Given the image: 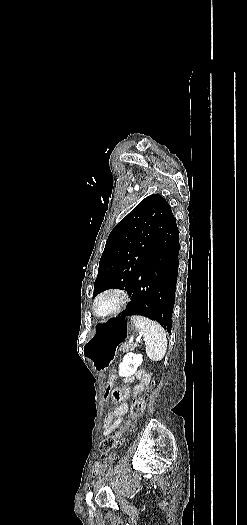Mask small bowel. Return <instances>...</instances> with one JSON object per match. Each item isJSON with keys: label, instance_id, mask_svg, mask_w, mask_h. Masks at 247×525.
Listing matches in <instances>:
<instances>
[{"label": "small bowel", "instance_id": "1", "mask_svg": "<svg viewBox=\"0 0 247 525\" xmlns=\"http://www.w3.org/2000/svg\"><path fill=\"white\" fill-rule=\"evenodd\" d=\"M135 378L139 380V383L134 387V394H138L145 389V386L150 382V376L144 370H137L135 372ZM112 390V389H111ZM128 413V403L124 401L119 402L113 412L108 414L104 420V435L111 434L116 430L125 420ZM102 468L100 462H95L92 468L94 475H97Z\"/></svg>", "mask_w": 247, "mask_h": 525}]
</instances>
